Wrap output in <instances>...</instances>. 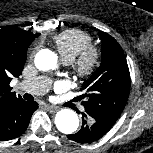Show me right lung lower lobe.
<instances>
[{
    "label": "right lung lower lobe",
    "mask_w": 153,
    "mask_h": 153,
    "mask_svg": "<svg viewBox=\"0 0 153 153\" xmlns=\"http://www.w3.org/2000/svg\"><path fill=\"white\" fill-rule=\"evenodd\" d=\"M37 102L18 99L8 103L0 110V141L17 138L25 132Z\"/></svg>",
    "instance_id": "1"
}]
</instances>
